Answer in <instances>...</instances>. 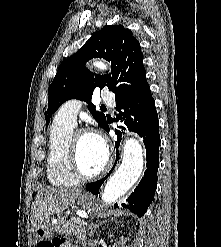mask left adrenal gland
I'll list each match as a JSON object with an SVG mask.
<instances>
[{"instance_id": "obj_1", "label": "left adrenal gland", "mask_w": 221, "mask_h": 247, "mask_svg": "<svg viewBox=\"0 0 221 247\" xmlns=\"http://www.w3.org/2000/svg\"><path fill=\"white\" fill-rule=\"evenodd\" d=\"M102 225V222L100 224H94L93 222H91L88 226V230L90 231L89 232V237H93L97 228L100 227Z\"/></svg>"}]
</instances>
